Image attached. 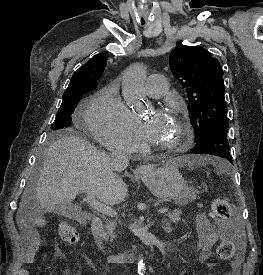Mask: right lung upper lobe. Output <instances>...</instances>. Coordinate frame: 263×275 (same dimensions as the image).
I'll return each instance as SVG.
<instances>
[{"mask_svg":"<svg viewBox=\"0 0 263 275\" xmlns=\"http://www.w3.org/2000/svg\"><path fill=\"white\" fill-rule=\"evenodd\" d=\"M107 59V52H103L88 60L73 74L64 94L77 90L87 89L91 91L95 89L97 86V80L101 77L104 71Z\"/></svg>","mask_w":263,"mask_h":275,"instance_id":"obj_1","label":"right lung upper lobe"}]
</instances>
